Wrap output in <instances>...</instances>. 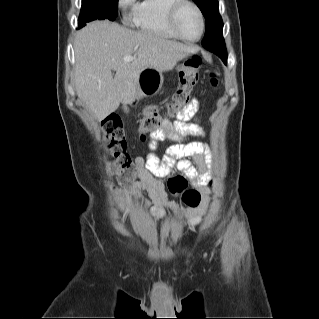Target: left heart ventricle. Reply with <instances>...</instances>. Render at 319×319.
I'll return each instance as SVG.
<instances>
[{
    "mask_svg": "<svg viewBox=\"0 0 319 319\" xmlns=\"http://www.w3.org/2000/svg\"><path fill=\"white\" fill-rule=\"evenodd\" d=\"M177 27L187 38H196L200 32V22L191 6H184L177 17Z\"/></svg>",
    "mask_w": 319,
    "mask_h": 319,
    "instance_id": "1",
    "label": "left heart ventricle"
}]
</instances>
